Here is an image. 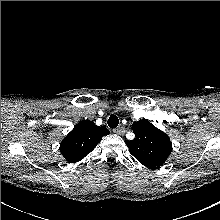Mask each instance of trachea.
Instances as JSON below:
<instances>
[{
	"mask_svg": "<svg viewBox=\"0 0 220 220\" xmlns=\"http://www.w3.org/2000/svg\"><path fill=\"white\" fill-rule=\"evenodd\" d=\"M107 123L110 128H116L119 124L118 117L116 115H111Z\"/></svg>",
	"mask_w": 220,
	"mask_h": 220,
	"instance_id": "3493384b",
	"label": "trachea"
}]
</instances>
